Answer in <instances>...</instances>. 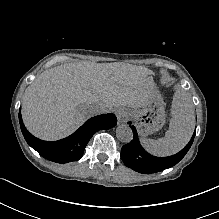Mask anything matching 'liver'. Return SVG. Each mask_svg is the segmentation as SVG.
I'll use <instances>...</instances> for the list:
<instances>
[{"label":"liver","mask_w":219,"mask_h":219,"mask_svg":"<svg viewBox=\"0 0 219 219\" xmlns=\"http://www.w3.org/2000/svg\"><path fill=\"white\" fill-rule=\"evenodd\" d=\"M148 75L153 72L124 63L72 62L47 69L24 92L23 124L40 140H62L93 117L91 105L106 112L139 106Z\"/></svg>","instance_id":"liver-1"}]
</instances>
